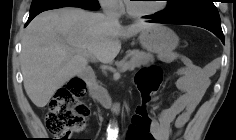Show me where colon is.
Here are the masks:
<instances>
[{"instance_id": "1", "label": "colon", "mask_w": 236, "mask_h": 140, "mask_svg": "<svg viewBox=\"0 0 236 140\" xmlns=\"http://www.w3.org/2000/svg\"><path fill=\"white\" fill-rule=\"evenodd\" d=\"M161 82V71L156 66L142 70L137 78L141 101L131 116L126 140H154L151 132L149 106ZM86 85L79 78H72L61 86L51 99L45 122L55 140H69V136L84 129L88 110L81 99Z\"/></svg>"}]
</instances>
